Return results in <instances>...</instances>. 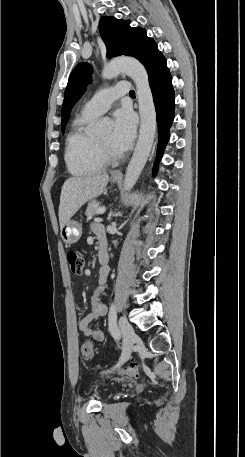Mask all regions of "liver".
<instances>
[{
  "label": "liver",
  "mask_w": 245,
  "mask_h": 457,
  "mask_svg": "<svg viewBox=\"0 0 245 457\" xmlns=\"http://www.w3.org/2000/svg\"><path fill=\"white\" fill-rule=\"evenodd\" d=\"M108 180L109 174L107 172H104V174L94 172V174H86V176H71V178L65 180L59 204L60 229L82 204L102 194L108 184Z\"/></svg>",
  "instance_id": "6515ba94"
}]
</instances>
